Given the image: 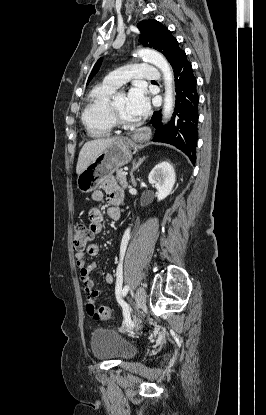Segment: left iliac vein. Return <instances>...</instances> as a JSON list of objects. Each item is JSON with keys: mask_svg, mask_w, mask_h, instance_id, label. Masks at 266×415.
<instances>
[{"mask_svg": "<svg viewBox=\"0 0 266 415\" xmlns=\"http://www.w3.org/2000/svg\"><path fill=\"white\" fill-rule=\"evenodd\" d=\"M146 304V292L142 287H139L136 292L135 297V309L136 311H139L140 309H143Z\"/></svg>", "mask_w": 266, "mask_h": 415, "instance_id": "4c4485c4", "label": "left iliac vein"}]
</instances>
